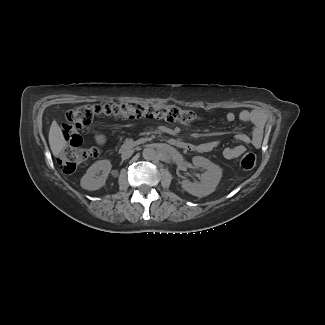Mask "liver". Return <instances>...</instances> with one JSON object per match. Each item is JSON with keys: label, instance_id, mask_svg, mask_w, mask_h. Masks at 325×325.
<instances>
[{"label": "liver", "instance_id": "obj_1", "mask_svg": "<svg viewBox=\"0 0 325 325\" xmlns=\"http://www.w3.org/2000/svg\"><path fill=\"white\" fill-rule=\"evenodd\" d=\"M49 145L55 157H57L67 145L63 132L56 121H53L50 126Z\"/></svg>", "mask_w": 325, "mask_h": 325}]
</instances>
